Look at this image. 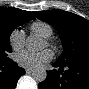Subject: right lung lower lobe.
<instances>
[{
    "label": "right lung lower lobe",
    "mask_w": 89,
    "mask_h": 89,
    "mask_svg": "<svg viewBox=\"0 0 89 89\" xmlns=\"http://www.w3.org/2000/svg\"><path fill=\"white\" fill-rule=\"evenodd\" d=\"M0 72V87L1 89H14L16 87L19 77L25 74V70L18 67L16 63L9 58L1 60Z\"/></svg>",
    "instance_id": "right-lung-lower-lobe-1"
}]
</instances>
